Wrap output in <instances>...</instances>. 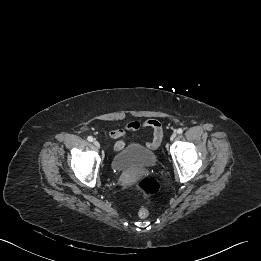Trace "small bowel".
<instances>
[{
  "label": "small bowel",
  "mask_w": 261,
  "mask_h": 261,
  "mask_svg": "<svg viewBox=\"0 0 261 261\" xmlns=\"http://www.w3.org/2000/svg\"><path fill=\"white\" fill-rule=\"evenodd\" d=\"M141 128H149L154 133V138L147 142V146L150 148H156L160 143L162 137V127L158 120L147 119L143 122L131 121L127 123L123 128H116L110 131L111 138L116 139L114 144V151L118 152L125 146L126 130L131 132H137Z\"/></svg>",
  "instance_id": "small-bowel-1"
}]
</instances>
